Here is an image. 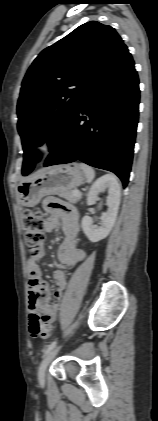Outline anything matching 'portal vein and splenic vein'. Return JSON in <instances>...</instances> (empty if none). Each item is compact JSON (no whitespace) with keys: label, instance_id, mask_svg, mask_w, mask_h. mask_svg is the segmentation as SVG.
<instances>
[{"label":"portal vein and splenic vein","instance_id":"portal-vein-and-splenic-vein-1","mask_svg":"<svg viewBox=\"0 0 158 421\" xmlns=\"http://www.w3.org/2000/svg\"><path fill=\"white\" fill-rule=\"evenodd\" d=\"M74 195H75V196H80V192H79L78 190H75V191H74Z\"/></svg>","mask_w":158,"mask_h":421}]
</instances>
